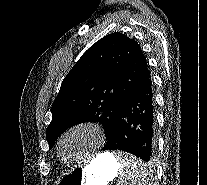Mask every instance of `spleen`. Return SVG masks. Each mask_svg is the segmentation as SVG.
Here are the masks:
<instances>
[{"label": "spleen", "instance_id": "obj_1", "mask_svg": "<svg viewBox=\"0 0 207 185\" xmlns=\"http://www.w3.org/2000/svg\"><path fill=\"white\" fill-rule=\"evenodd\" d=\"M118 163H121V172L116 185H145L147 179H155V174H149V166L143 159L136 158V153H117Z\"/></svg>", "mask_w": 207, "mask_h": 185}]
</instances>
